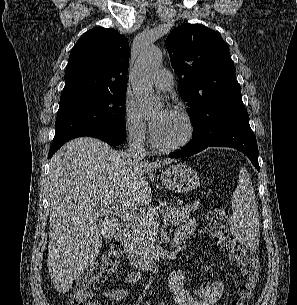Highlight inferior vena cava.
Segmentation results:
<instances>
[{"mask_svg": "<svg viewBox=\"0 0 297 305\" xmlns=\"http://www.w3.org/2000/svg\"><path fill=\"white\" fill-rule=\"evenodd\" d=\"M145 131L141 128L134 129L129 134V148L127 154L134 161L142 160L145 156Z\"/></svg>", "mask_w": 297, "mask_h": 305, "instance_id": "602c4592", "label": "inferior vena cava"}]
</instances>
